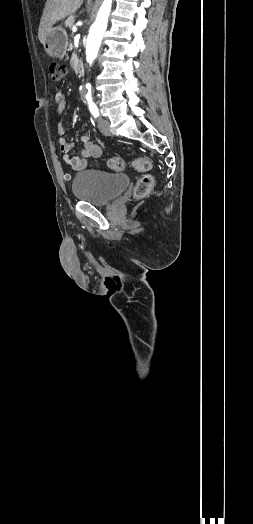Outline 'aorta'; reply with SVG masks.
Returning <instances> with one entry per match:
<instances>
[{"label":"aorta","instance_id":"aorta-1","mask_svg":"<svg viewBox=\"0 0 253 524\" xmlns=\"http://www.w3.org/2000/svg\"><path fill=\"white\" fill-rule=\"evenodd\" d=\"M111 6L112 0H104L95 22L90 27L86 46V60L90 65L97 57L101 41L107 28ZM86 88L88 89L87 99L91 100V85L87 84Z\"/></svg>","mask_w":253,"mask_h":524}]
</instances>
